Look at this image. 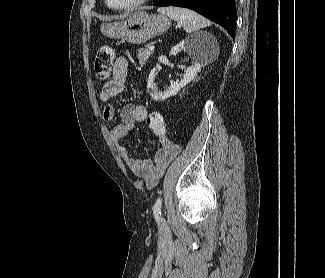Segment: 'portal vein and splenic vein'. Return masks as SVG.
Segmentation results:
<instances>
[{"mask_svg": "<svg viewBox=\"0 0 325 278\" xmlns=\"http://www.w3.org/2000/svg\"><path fill=\"white\" fill-rule=\"evenodd\" d=\"M148 49H149V50H154V45H153V44H150V45L148 46Z\"/></svg>", "mask_w": 325, "mask_h": 278, "instance_id": "obj_1", "label": "portal vein and splenic vein"}]
</instances>
